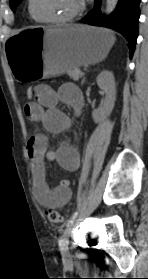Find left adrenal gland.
<instances>
[{
  "mask_svg": "<svg viewBox=\"0 0 148 279\" xmlns=\"http://www.w3.org/2000/svg\"><path fill=\"white\" fill-rule=\"evenodd\" d=\"M84 82H85V77H84L83 80H82V84H84Z\"/></svg>",
  "mask_w": 148,
  "mask_h": 279,
  "instance_id": "1",
  "label": "left adrenal gland"
}]
</instances>
